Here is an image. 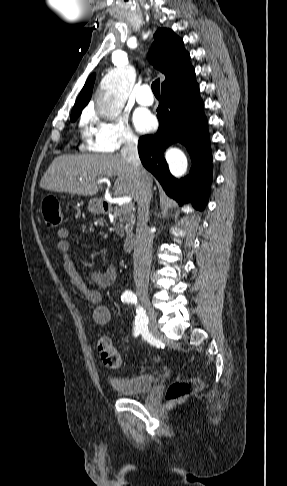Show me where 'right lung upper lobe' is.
I'll use <instances>...</instances> for the list:
<instances>
[{
  "label": "right lung upper lobe",
  "instance_id": "1",
  "mask_svg": "<svg viewBox=\"0 0 287 486\" xmlns=\"http://www.w3.org/2000/svg\"><path fill=\"white\" fill-rule=\"evenodd\" d=\"M151 64L166 77L162 89L174 87L195 76L190 63V55L183 47V40L172 30L159 28L154 34V42L149 52ZM95 74H92L81 90L71 114L81 113L92 95Z\"/></svg>",
  "mask_w": 287,
  "mask_h": 486
}]
</instances>
